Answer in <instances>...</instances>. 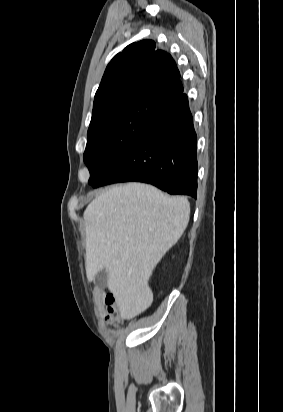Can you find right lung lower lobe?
I'll return each mask as SVG.
<instances>
[{
  "label": "right lung lower lobe",
  "instance_id": "obj_1",
  "mask_svg": "<svg viewBox=\"0 0 283 412\" xmlns=\"http://www.w3.org/2000/svg\"><path fill=\"white\" fill-rule=\"evenodd\" d=\"M168 78V76H167ZM197 136L188 98L176 96L128 150L95 182L150 183L170 194H197Z\"/></svg>",
  "mask_w": 283,
  "mask_h": 412
}]
</instances>
